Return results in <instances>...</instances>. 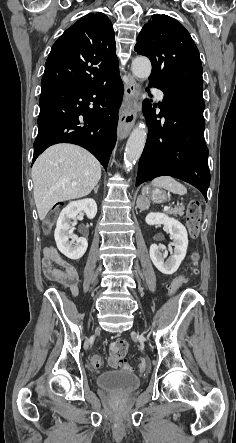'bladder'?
<instances>
[{
	"mask_svg": "<svg viewBox=\"0 0 236 443\" xmlns=\"http://www.w3.org/2000/svg\"><path fill=\"white\" fill-rule=\"evenodd\" d=\"M141 378L130 371H109L96 379L99 388L110 391L131 392L141 385Z\"/></svg>",
	"mask_w": 236,
	"mask_h": 443,
	"instance_id": "obj_1",
	"label": "bladder"
}]
</instances>
